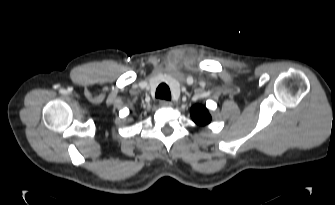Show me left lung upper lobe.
Returning <instances> with one entry per match:
<instances>
[{"instance_id":"obj_1","label":"left lung upper lobe","mask_w":335,"mask_h":205,"mask_svg":"<svg viewBox=\"0 0 335 205\" xmlns=\"http://www.w3.org/2000/svg\"><path fill=\"white\" fill-rule=\"evenodd\" d=\"M193 121L201 126L207 125L211 121V116L205 106L195 105L190 110Z\"/></svg>"}]
</instances>
